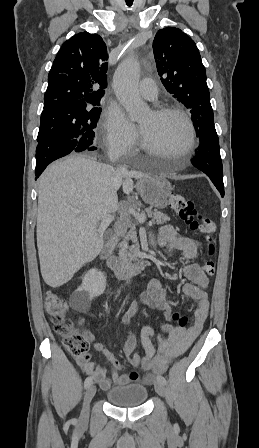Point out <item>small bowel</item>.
<instances>
[{
  "label": "small bowel",
  "mask_w": 259,
  "mask_h": 448,
  "mask_svg": "<svg viewBox=\"0 0 259 448\" xmlns=\"http://www.w3.org/2000/svg\"><path fill=\"white\" fill-rule=\"evenodd\" d=\"M158 244L166 247L169 251H181L184 259L187 261L180 268V273L186 279V282L182 286V291L190 300L197 302V308L194 312V323L189 327L172 326V313L166 299L165 290L158 278L152 279L148 284L147 290L140 295L138 306H146L163 311L167 322L161 326V329L167 336L159 351H157L151 341L154 330L149 326L142 328L141 343L144 348V356L138 364L146 371V374L142 378L136 372H124L123 364L116 359L114 354L101 343L97 342L94 335L86 333V338L93 343L94 349L103 354L106 360L115 368V371L111 377H108L107 368L91 361L90 354L78 357L77 363L82 371L86 375H90L104 391L109 390L113 384L123 386L139 380L147 385L152 384L154 375L163 373L171 360L188 350L200 335L207 319L209 311L208 293L206 291L209 283L208 277L197 263L192 262L197 256L198 251L203 248V244L193 238L178 234L171 225H164L160 228ZM134 313L135 308L128 310L121 319L122 324H129ZM136 344V336L132 332H127L122 344V352L133 365L136 364L129 357L133 353Z\"/></svg>",
  "instance_id": "small-bowel-1"
}]
</instances>
